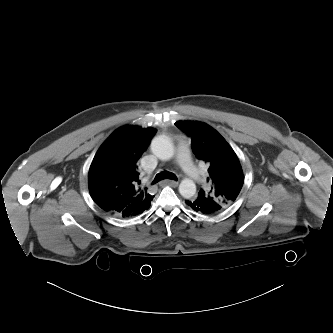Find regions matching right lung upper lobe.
<instances>
[{"instance_id": "1", "label": "right lung upper lobe", "mask_w": 333, "mask_h": 333, "mask_svg": "<svg viewBox=\"0 0 333 333\" xmlns=\"http://www.w3.org/2000/svg\"><path fill=\"white\" fill-rule=\"evenodd\" d=\"M156 131L124 126L98 149L89 169L88 185L94 202L106 213L132 217L150 206L153 196L139 186L137 161Z\"/></svg>"}]
</instances>
